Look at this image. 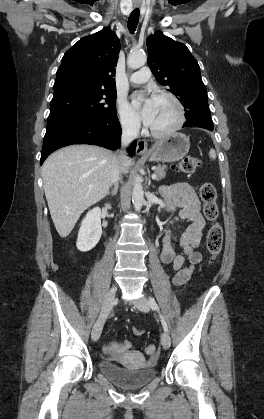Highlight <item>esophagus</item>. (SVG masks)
Masks as SVG:
<instances>
[{"label": "esophagus", "mask_w": 264, "mask_h": 419, "mask_svg": "<svg viewBox=\"0 0 264 419\" xmlns=\"http://www.w3.org/2000/svg\"><path fill=\"white\" fill-rule=\"evenodd\" d=\"M147 152H148L147 142L144 140H138L137 146H136V153L139 155H143V154H147Z\"/></svg>", "instance_id": "obj_1"}]
</instances>
